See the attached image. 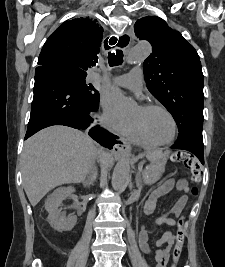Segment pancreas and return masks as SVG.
I'll use <instances>...</instances> for the list:
<instances>
[{"instance_id":"pancreas-1","label":"pancreas","mask_w":225,"mask_h":267,"mask_svg":"<svg viewBox=\"0 0 225 267\" xmlns=\"http://www.w3.org/2000/svg\"><path fill=\"white\" fill-rule=\"evenodd\" d=\"M165 161H157L155 163H152L144 172V176L142 178V183L144 185H152L154 183H156L162 173L164 172L165 170Z\"/></svg>"}]
</instances>
